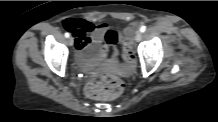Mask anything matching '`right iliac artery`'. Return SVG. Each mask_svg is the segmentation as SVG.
<instances>
[{
	"instance_id": "right-iliac-artery-1",
	"label": "right iliac artery",
	"mask_w": 218,
	"mask_h": 122,
	"mask_svg": "<svg viewBox=\"0 0 218 122\" xmlns=\"http://www.w3.org/2000/svg\"><path fill=\"white\" fill-rule=\"evenodd\" d=\"M70 35L68 32L65 33V37L68 38Z\"/></svg>"
}]
</instances>
